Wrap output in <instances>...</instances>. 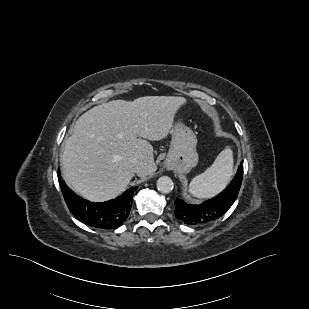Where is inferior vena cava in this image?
Wrapping results in <instances>:
<instances>
[{"mask_svg": "<svg viewBox=\"0 0 309 309\" xmlns=\"http://www.w3.org/2000/svg\"><path fill=\"white\" fill-rule=\"evenodd\" d=\"M131 161L135 165V171L139 172L141 167V163L139 162V160L136 157H133Z\"/></svg>", "mask_w": 309, "mask_h": 309, "instance_id": "602c4592", "label": "inferior vena cava"}]
</instances>
